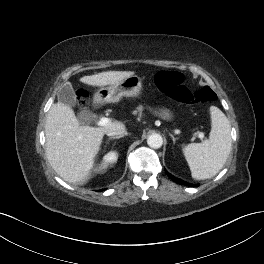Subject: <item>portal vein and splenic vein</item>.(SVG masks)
I'll list each match as a JSON object with an SVG mask.
<instances>
[{"mask_svg":"<svg viewBox=\"0 0 264 264\" xmlns=\"http://www.w3.org/2000/svg\"><path fill=\"white\" fill-rule=\"evenodd\" d=\"M109 124H111V120L109 118H106V117H103V118L99 119L98 122H97V125L101 126V127L107 126ZM199 138H201V139L204 138V134L203 133H199Z\"/></svg>","mask_w":264,"mask_h":264,"instance_id":"1","label":"portal vein and splenic vein"}]
</instances>
